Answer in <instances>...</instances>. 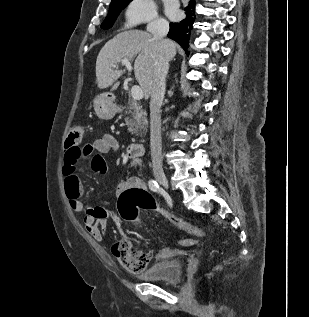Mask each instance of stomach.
Wrapping results in <instances>:
<instances>
[{"instance_id":"1","label":"stomach","mask_w":309,"mask_h":317,"mask_svg":"<svg viewBox=\"0 0 309 317\" xmlns=\"http://www.w3.org/2000/svg\"><path fill=\"white\" fill-rule=\"evenodd\" d=\"M93 107L100 119H112L116 114L114 94L111 92H104L97 95L93 100Z\"/></svg>"}]
</instances>
